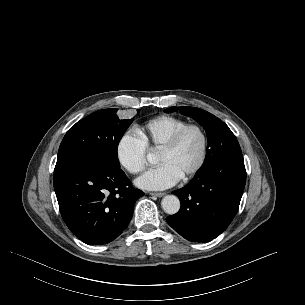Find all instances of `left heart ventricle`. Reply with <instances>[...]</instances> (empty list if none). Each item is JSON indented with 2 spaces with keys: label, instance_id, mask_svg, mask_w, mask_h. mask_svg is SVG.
Wrapping results in <instances>:
<instances>
[{
  "label": "left heart ventricle",
  "instance_id": "obj_1",
  "mask_svg": "<svg viewBox=\"0 0 305 305\" xmlns=\"http://www.w3.org/2000/svg\"><path fill=\"white\" fill-rule=\"evenodd\" d=\"M201 151L202 138L200 134L196 130H190L175 149L159 152L158 162L169 163L184 176L198 163Z\"/></svg>",
  "mask_w": 305,
  "mask_h": 305
}]
</instances>
